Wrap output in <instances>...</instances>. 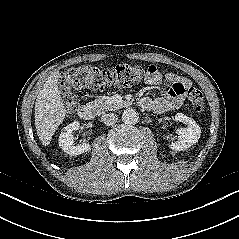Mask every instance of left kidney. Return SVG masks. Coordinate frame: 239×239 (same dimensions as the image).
<instances>
[{"mask_svg": "<svg viewBox=\"0 0 239 239\" xmlns=\"http://www.w3.org/2000/svg\"><path fill=\"white\" fill-rule=\"evenodd\" d=\"M175 120L182 122L186 125L185 128H180L178 130L179 139L176 142H172L169 147L175 151H181L191 147L193 144L198 142L201 135V129L199 125L190 117L177 113L175 115Z\"/></svg>", "mask_w": 239, "mask_h": 239, "instance_id": "obj_1", "label": "left kidney"}]
</instances>
